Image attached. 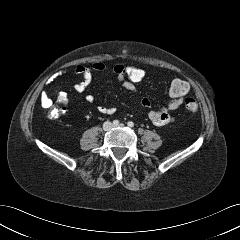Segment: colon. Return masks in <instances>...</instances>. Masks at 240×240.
I'll use <instances>...</instances> for the list:
<instances>
[{"label": "colon", "mask_w": 240, "mask_h": 240, "mask_svg": "<svg viewBox=\"0 0 240 240\" xmlns=\"http://www.w3.org/2000/svg\"><path fill=\"white\" fill-rule=\"evenodd\" d=\"M125 78L136 87L143 83L146 77V72L143 67L136 63H130L124 65ZM189 84L181 79H175L169 84L168 92L171 98H184L185 109L191 113H195L198 110V103L192 97H185L189 92ZM62 111L54 108L51 110L52 117L60 116Z\"/></svg>", "instance_id": "obj_1"}]
</instances>
